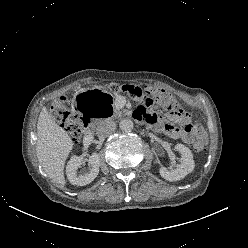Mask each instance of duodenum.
<instances>
[{"label": "duodenum", "instance_id": "1", "mask_svg": "<svg viewBox=\"0 0 248 248\" xmlns=\"http://www.w3.org/2000/svg\"><path fill=\"white\" fill-rule=\"evenodd\" d=\"M92 116H88V117H84L83 118V125H84V128L86 130V134L87 136H91L92 135V132H93V126H92Z\"/></svg>", "mask_w": 248, "mask_h": 248}]
</instances>
